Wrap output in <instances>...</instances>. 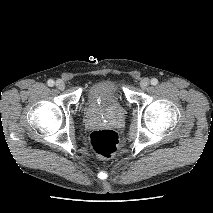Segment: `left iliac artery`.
<instances>
[{"mask_svg":"<svg viewBox=\"0 0 213 213\" xmlns=\"http://www.w3.org/2000/svg\"><path fill=\"white\" fill-rule=\"evenodd\" d=\"M151 84L152 85H157L158 84V80L156 78H152L151 79Z\"/></svg>","mask_w":213,"mask_h":213,"instance_id":"left-iliac-artery-1","label":"left iliac artery"}]
</instances>
